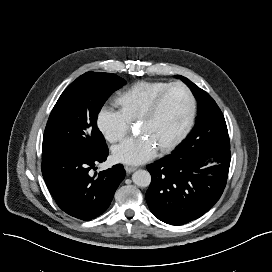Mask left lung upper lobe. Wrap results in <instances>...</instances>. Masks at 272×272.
<instances>
[{"mask_svg":"<svg viewBox=\"0 0 272 272\" xmlns=\"http://www.w3.org/2000/svg\"><path fill=\"white\" fill-rule=\"evenodd\" d=\"M193 92L198 102L196 124L187 138L176 148L178 151H223L230 149L224 116L211 96L189 79L177 75Z\"/></svg>","mask_w":272,"mask_h":272,"instance_id":"1","label":"left lung upper lobe"}]
</instances>
